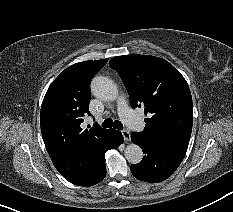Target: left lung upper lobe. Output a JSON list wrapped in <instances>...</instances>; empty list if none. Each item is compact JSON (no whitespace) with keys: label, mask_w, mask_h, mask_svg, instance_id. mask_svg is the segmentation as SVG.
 <instances>
[{"label":"left lung upper lobe","mask_w":233,"mask_h":212,"mask_svg":"<svg viewBox=\"0 0 233 212\" xmlns=\"http://www.w3.org/2000/svg\"><path fill=\"white\" fill-rule=\"evenodd\" d=\"M109 66L121 77L133 108L144 106V137L186 152L193 123V104L184 77L166 60L149 55H124Z\"/></svg>","instance_id":"5c2ea615"}]
</instances>
